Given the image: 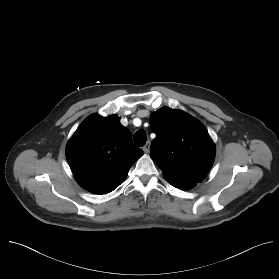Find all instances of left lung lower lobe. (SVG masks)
Returning <instances> with one entry per match:
<instances>
[{
  "label": "left lung lower lobe",
  "mask_w": 279,
  "mask_h": 279,
  "mask_svg": "<svg viewBox=\"0 0 279 279\" xmlns=\"http://www.w3.org/2000/svg\"><path fill=\"white\" fill-rule=\"evenodd\" d=\"M171 185H173L174 187H177L179 189H190L193 186H195L196 183H192V182H188V181H182V180H178L175 178H169V177H164Z\"/></svg>",
  "instance_id": "0a47b994"
}]
</instances>
